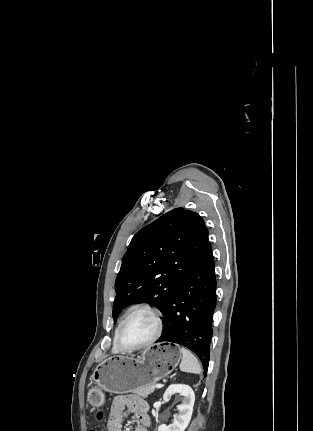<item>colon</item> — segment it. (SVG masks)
Listing matches in <instances>:
<instances>
[{
  "mask_svg": "<svg viewBox=\"0 0 313 431\" xmlns=\"http://www.w3.org/2000/svg\"><path fill=\"white\" fill-rule=\"evenodd\" d=\"M98 418H99V419H102V418H103V413H102V412H100V413L98 414ZM91 431H99V430L92 429Z\"/></svg>",
  "mask_w": 313,
  "mask_h": 431,
  "instance_id": "1",
  "label": "colon"
}]
</instances>
